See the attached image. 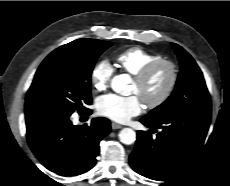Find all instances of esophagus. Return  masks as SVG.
Segmentation results:
<instances>
[{"label":"esophagus","instance_id":"obj_1","mask_svg":"<svg viewBox=\"0 0 230 186\" xmlns=\"http://www.w3.org/2000/svg\"><path fill=\"white\" fill-rule=\"evenodd\" d=\"M111 127L113 130H116V129H121L122 128V125L118 124V123H112L111 124Z\"/></svg>","mask_w":230,"mask_h":186}]
</instances>
